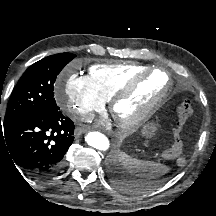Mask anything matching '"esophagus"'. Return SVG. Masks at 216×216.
I'll return each instance as SVG.
<instances>
[{
    "label": "esophagus",
    "instance_id": "34e87169",
    "mask_svg": "<svg viewBox=\"0 0 216 216\" xmlns=\"http://www.w3.org/2000/svg\"><path fill=\"white\" fill-rule=\"evenodd\" d=\"M86 128L84 127H76L75 128V136H80L81 134L85 133L86 132Z\"/></svg>",
    "mask_w": 216,
    "mask_h": 216
}]
</instances>
